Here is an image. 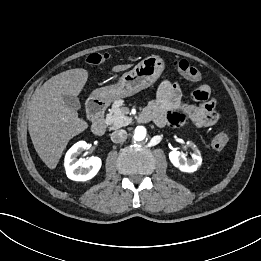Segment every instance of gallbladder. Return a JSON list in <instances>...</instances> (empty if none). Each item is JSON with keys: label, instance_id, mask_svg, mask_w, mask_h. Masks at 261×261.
Listing matches in <instances>:
<instances>
[{"label": "gallbladder", "instance_id": "gallbladder-1", "mask_svg": "<svg viewBox=\"0 0 261 261\" xmlns=\"http://www.w3.org/2000/svg\"><path fill=\"white\" fill-rule=\"evenodd\" d=\"M63 102L67 107H70L74 110H79L81 108V104L79 98L74 95H63Z\"/></svg>", "mask_w": 261, "mask_h": 261}]
</instances>
